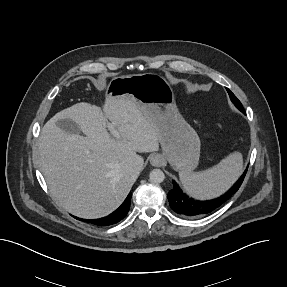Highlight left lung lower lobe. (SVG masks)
<instances>
[{"mask_svg": "<svg viewBox=\"0 0 287 287\" xmlns=\"http://www.w3.org/2000/svg\"><path fill=\"white\" fill-rule=\"evenodd\" d=\"M243 113H245V111H243ZM246 172L247 169L239 180L225 194L216 199L207 201H199L190 198L184 194L178 184L173 181V187L168 192L169 205L175 213L187 218H195L209 214L215 209L219 208L238 191L244 180Z\"/></svg>", "mask_w": 287, "mask_h": 287, "instance_id": "left-lung-lower-lobe-1", "label": "left lung lower lobe"}]
</instances>
